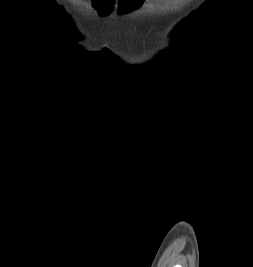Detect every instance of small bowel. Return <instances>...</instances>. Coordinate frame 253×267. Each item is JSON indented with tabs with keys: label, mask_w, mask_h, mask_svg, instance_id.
<instances>
[{
	"label": "small bowel",
	"mask_w": 253,
	"mask_h": 267,
	"mask_svg": "<svg viewBox=\"0 0 253 267\" xmlns=\"http://www.w3.org/2000/svg\"><path fill=\"white\" fill-rule=\"evenodd\" d=\"M145 0H92L93 7L100 13H110L114 8L118 12L132 11L144 3Z\"/></svg>",
	"instance_id": "1"
}]
</instances>
